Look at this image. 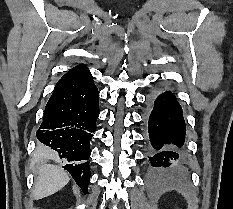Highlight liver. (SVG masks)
<instances>
[{"label": "liver", "mask_w": 233, "mask_h": 209, "mask_svg": "<svg viewBox=\"0 0 233 209\" xmlns=\"http://www.w3.org/2000/svg\"><path fill=\"white\" fill-rule=\"evenodd\" d=\"M69 180V174L63 169L51 164H40L37 169L33 198L39 200L48 197L61 190Z\"/></svg>", "instance_id": "1"}]
</instances>
